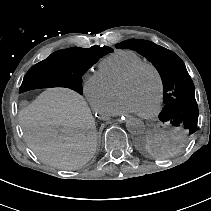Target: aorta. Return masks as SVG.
<instances>
[{"label": "aorta", "instance_id": "aorta-1", "mask_svg": "<svg viewBox=\"0 0 211 211\" xmlns=\"http://www.w3.org/2000/svg\"><path fill=\"white\" fill-rule=\"evenodd\" d=\"M126 128L132 135H141L145 131V125L142 120L135 117L126 121Z\"/></svg>", "mask_w": 211, "mask_h": 211}]
</instances>
